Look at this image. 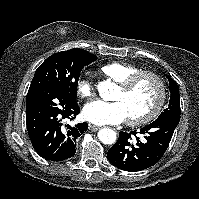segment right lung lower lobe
<instances>
[{
  "instance_id": "1",
  "label": "right lung lower lobe",
  "mask_w": 199,
  "mask_h": 199,
  "mask_svg": "<svg viewBox=\"0 0 199 199\" xmlns=\"http://www.w3.org/2000/svg\"><path fill=\"white\" fill-rule=\"evenodd\" d=\"M76 100L57 87H30L26 99L28 135L36 152L51 161H62L76 152V139L88 129L87 123L64 124L79 114Z\"/></svg>"
}]
</instances>
